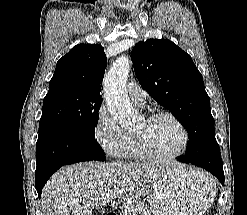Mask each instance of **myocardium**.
I'll return each instance as SVG.
<instances>
[{
    "label": "myocardium",
    "instance_id": "1",
    "mask_svg": "<svg viewBox=\"0 0 247 215\" xmlns=\"http://www.w3.org/2000/svg\"><path fill=\"white\" fill-rule=\"evenodd\" d=\"M159 118H168V119L172 120L179 127V129L182 132V136H183L181 148L176 153H173V154H168V155L158 154V153H155L154 151H152L150 149V147L148 146V144L146 142L145 137L142 134L133 133V136L135 138L138 150L140 151L141 155L144 158H146L148 160H153V161H167V160H173V159L181 157L185 153V151L187 150V147L189 144V132H188L186 126L178 117H176L174 114L167 112V111L152 112V113L148 114L144 118V120L147 123H150V122L155 121Z\"/></svg>",
    "mask_w": 247,
    "mask_h": 215
}]
</instances>
